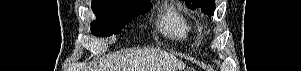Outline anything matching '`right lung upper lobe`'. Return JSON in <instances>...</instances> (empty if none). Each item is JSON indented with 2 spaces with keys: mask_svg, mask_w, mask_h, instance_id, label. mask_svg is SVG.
Instances as JSON below:
<instances>
[{
  "mask_svg": "<svg viewBox=\"0 0 301 71\" xmlns=\"http://www.w3.org/2000/svg\"><path fill=\"white\" fill-rule=\"evenodd\" d=\"M121 1H130V2H144V3H150L149 0H121Z\"/></svg>",
  "mask_w": 301,
  "mask_h": 71,
  "instance_id": "right-lung-upper-lobe-1",
  "label": "right lung upper lobe"
}]
</instances>
